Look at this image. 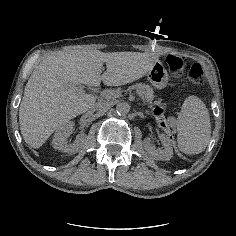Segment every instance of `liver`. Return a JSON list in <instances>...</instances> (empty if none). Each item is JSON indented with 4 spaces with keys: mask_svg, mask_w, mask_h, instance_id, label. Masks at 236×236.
I'll return each mask as SVG.
<instances>
[{
    "mask_svg": "<svg viewBox=\"0 0 236 236\" xmlns=\"http://www.w3.org/2000/svg\"><path fill=\"white\" fill-rule=\"evenodd\" d=\"M145 58L146 53L94 49H72L42 57L25 85L19 107V125L25 143L39 149L57 129L95 104L96 97L81 91L79 84L131 83L147 73L143 66Z\"/></svg>",
    "mask_w": 236,
    "mask_h": 236,
    "instance_id": "liver-1",
    "label": "liver"
}]
</instances>
